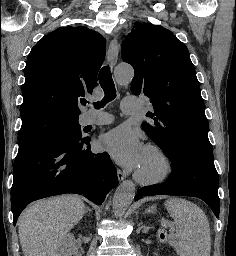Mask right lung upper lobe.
Instances as JSON below:
<instances>
[{
  "label": "right lung upper lobe",
  "mask_w": 236,
  "mask_h": 256,
  "mask_svg": "<svg viewBox=\"0 0 236 256\" xmlns=\"http://www.w3.org/2000/svg\"><path fill=\"white\" fill-rule=\"evenodd\" d=\"M104 56L105 39L86 27H61L45 35L26 63L21 118L43 111L78 118V98L92 94Z\"/></svg>",
  "instance_id": "right-lung-upper-lobe-1"
}]
</instances>
